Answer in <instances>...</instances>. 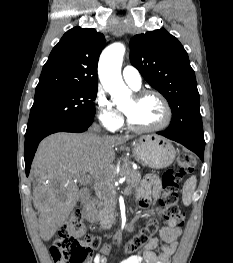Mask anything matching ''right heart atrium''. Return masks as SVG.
<instances>
[{"instance_id": "1", "label": "right heart atrium", "mask_w": 233, "mask_h": 263, "mask_svg": "<svg viewBox=\"0 0 233 263\" xmlns=\"http://www.w3.org/2000/svg\"><path fill=\"white\" fill-rule=\"evenodd\" d=\"M94 104L99 122L108 131H116L122 126L121 112L114 106L102 87L96 89Z\"/></svg>"}]
</instances>
